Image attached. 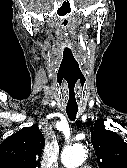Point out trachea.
Returning a JSON list of instances; mask_svg holds the SVG:
<instances>
[{"label":"trachea","instance_id":"obj_1","mask_svg":"<svg viewBox=\"0 0 127 168\" xmlns=\"http://www.w3.org/2000/svg\"><path fill=\"white\" fill-rule=\"evenodd\" d=\"M77 112H78V106L66 107L67 116L71 121H74L76 119Z\"/></svg>","mask_w":127,"mask_h":168}]
</instances>
